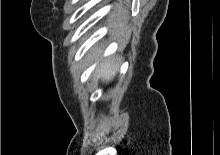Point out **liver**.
Listing matches in <instances>:
<instances>
[{
	"label": "liver",
	"mask_w": 220,
	"mask_h": 155,
	"mask_svg": "<svg viewBox=\"0 0 220 155\" xmlns=\"http://www.w3.org/2000/svg\"><path fill=\"white\" fill-rule=\"evenodd\" d=\"M117 71V67L114 65L113 60L104 61L96 69L97 77H101L103 80H113Z\"/></svg>",
	"instance_id": "obj_1"
}]
</instances>
